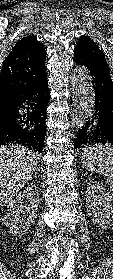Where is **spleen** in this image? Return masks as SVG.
I'll return each mask as SVG.
<instances>
[{"label": "spleen", "mask_w": 113, "mask_h": 279, "mask_svg": "<svg viewBox=\"0 0 113 279\" xmlns=\"http://www.w3.org/2000/svg\"><path fill=\"white\" fill-rule=\"evenodd\" d=\"M80 160L88 171L104 176L113 192V146L100 144L85 147L80 153Z\"/></svg>", "instance_id": "1"}]
</instances>
